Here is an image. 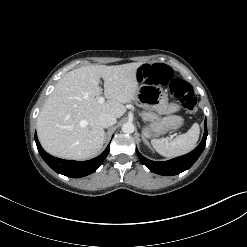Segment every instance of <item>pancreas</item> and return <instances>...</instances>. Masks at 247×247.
Segmentation results:
<instances>
[{
	"label": "pancreas",
	"mask_w": 247,
	"mask_h": 247,
	"mask_svg": "<svg viewBox=\"0 0 247 247\" xmlns=\"http://www.w3.org/2000/svg\"><path fill=\"white\" fill-rule=\"evenodd\" d=\"M141 115H142L143 120H155V119H157L156 114L151 112L150 109L148 112H143Z\"/></svg>",
	"instance_id": "obj_1"
}]
</instances>
